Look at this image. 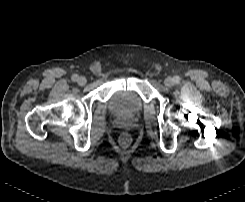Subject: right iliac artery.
<instances>
[{"mask_svg": "<svg viewBox=\"0 0 245 202\" xmlns=\"http://www.w3.org/2000/svg\"><path fill=\"white\" fill-rule=\"evenodd\" d=\"M78 78L79 77H78L77 74H73L72 77H71L72 81H74V82H76L78 80Z\"/></svg>", "mask_w": 245, "mask_h": 202, "instance_id": "right-iliac-artery-1", "label": "right iliac artery"}]
</instances>
